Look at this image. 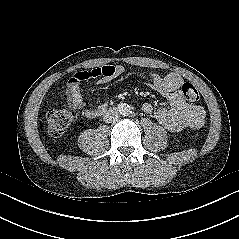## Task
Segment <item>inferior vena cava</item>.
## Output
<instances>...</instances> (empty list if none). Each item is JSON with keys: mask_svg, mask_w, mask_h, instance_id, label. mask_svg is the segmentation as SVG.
<instances>
[{"mask_svg": "<svg viewBox=\"0 0 239 239\" xmlns=\"http://www.w3.org/2000/svg\"><path fill=\"white\" fill-rule=\"evenodd\" d=\"M119 118V112L116 108H110L106 111V113L103 115V120L106 123L115 122Z\"/></svg>", "mask_w": 239, "mask_h": 239, "instance_id": "1", "label": "inferior vena cava"}]
</instances>
